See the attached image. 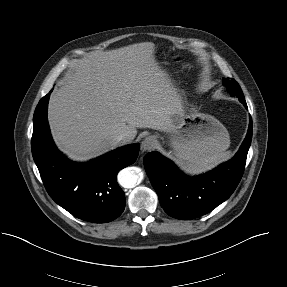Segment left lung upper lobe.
Returning a JSON list of instances; mask_svg holds the SVG:
<instances>
[{
  "mask_svg": "<svg viewBox=\"0 0 287 287\" xmlns=\"http://www.w3.org/2000/svg\"><path fill=\"white\" fill-rule=\"evenodd\" d=\"M223 83L232 96L238 97L239 100L245 99L239 84L234 79L229 80V78H225Z\"/></svg>",
  "mask_w": 287,
  "mask_h": 287,
  "instance_id": "5c2ea615",
  "label": "left lung upper lobe"
}]
</instances>
